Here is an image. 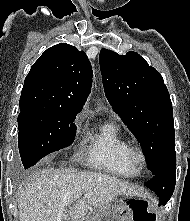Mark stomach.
I'll return each instance as SVG.
<instances>
[{"mask_svg":"<svg viewBox=\"0 0 190 221\" xmlns=\"http://www.w3.org/2000/svg\"><path fill=\"white\" fill-rule=\"evenodd\" d=\"M152 217H157V208H152L149 200H118V204H106L96 209L90 221H158Z\"/></svg>","mask_w":190,"mask_h":221,"instance_id":"0dacf381","label":"stomach"}]
</instances>
